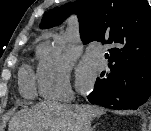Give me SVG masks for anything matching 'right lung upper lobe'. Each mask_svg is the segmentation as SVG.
Returning a JSON list of instances; mask_svg holds the SVG:
<instances>
[{
  "mask_svg": "<svg viewBox=\"0 0 151 131\" xmlns=\"http://www.w3.org/2000/svg\"><path fill=\"white\" fill-rule=\"evenodd\" d=\"M72 12L78 15L84 43L116 46L109 49L110 68L133 70L151 64V12L146 0H80L50 10L40 27L58 25Z\"/></svg>",
  "mask_w": 151,
  "mask_h": 131,
  "instance_id": "obj_1",
  "label": "right lung upper lobe"
}]
</instances>
